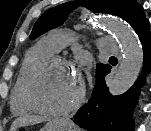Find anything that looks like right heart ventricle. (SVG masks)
Segmentation results:
<instances>
[{
  "label": "right heart ventricle",
  "instance_id": "e07e8e85",
  "mask_svg": "<svg viewBox=\"0 0 151 131\" xmlns=\"http://www.w3.org/2000/svg\"><path fill=\"white\" fill-rule=\"evenodd\" d=\"M55 52L46 39L39 41L27 51L10 96V107L13 114L26 115L32 112L24 97L27 75L36 63L48 56L54 55Z\"/></svg>",
  "mask_w": 151,
  "mask_h": 131
}]
</instances>
